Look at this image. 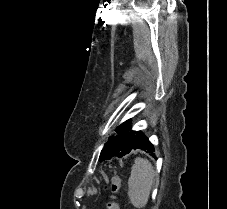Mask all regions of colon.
Instances as JSON below:
<instances>
[{"instance_id": "1", "label": "colon", "mask_w": 227, "mask_h": 209, "mask_svg": "<svg viewBox=\"0 0 227 209\" xmlns=\"http://www.w3.org/2000/svg\"><path fill=\"white\" fill-rule=\"evenodd\" d=\"M110 200L106 203L105 209H119L117 197L120 191V178L117 176L109 180Z\"/></svg>"}]
</instances>
